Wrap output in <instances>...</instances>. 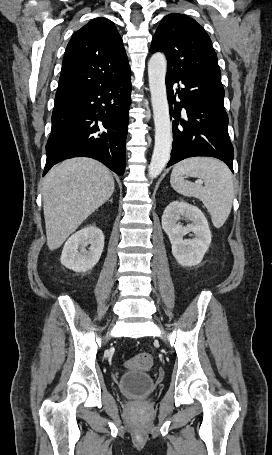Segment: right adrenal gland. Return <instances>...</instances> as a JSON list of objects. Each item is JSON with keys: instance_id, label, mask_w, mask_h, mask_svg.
I'll list each match as a JSON object with an SVG mask.
<instances>
[{"instance_id": "1", "label": "right adrenal gland", "mask_w": 272, "mask_h": 455, "mask_svg": "<svg viewBox=\"0 0 272 455\" xmlns=\"http://www.w3.org/2000/svg\"><path fill=\"white\" fill-rule=\"evenodd\" d=\"M109 202H111V203L113 202L112 198L109 200Z\"/></svg>"}]
</instances>
